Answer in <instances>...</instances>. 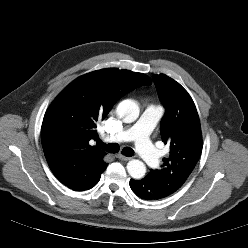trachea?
I'll use <instances>...</instances> for the list:
<instances>
[{"label":"trachea","mask_w":248,"mask_h":248,"mask_svg":"<svg viewBox=\"0 0 248 248\" xmlns=\"http://www.w3.org/2000/svg\"><path fill=\"white\" fill-rule=\"evenodd\" d=\"M97 145L99 148L109 152V153H117L119 152V145L116 143H109L105 144L101 142V140H97ZM122 154L125 155L126 157H131L134 155V150L131 149L130 147H124L122 149Z\"/></svg>","instance_id":"trachea-1"}]
</instances>
